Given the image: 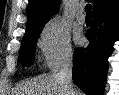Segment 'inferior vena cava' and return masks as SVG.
<instances>
[{
	"label": "inferior vena cava",
	"instance_id": "inferior-vena-cava-1",
	"mask_svg": "<svg viewBox=\"0 0 119 95\" xmlns=\"http://www.w3.org/2000/svg\"><path fill=\"white\" fill-rule=\"evenodd\" d=\"M72 68L73 54L72 52H67L62 58L60 71L56 74V76L65 83L68 92L67 94L77 95V90L72 81Z\"/></svg>",
	"mask_w": 119,
	"mask_h": 95
}]
</instances>
